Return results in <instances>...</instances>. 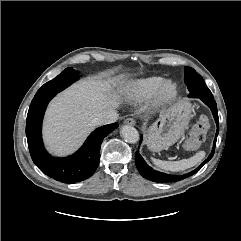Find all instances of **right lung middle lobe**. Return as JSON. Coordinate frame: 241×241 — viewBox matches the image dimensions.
I'll return each instance as SVG.
<instances>
[{
	"mask_svg": "<svg viewBox=\"0 0 241 241\" xmlns=\"http://www.w3.org/2000/svg\"><path fill=\"white\" fill-rule=\"evenodd\" d=\"M77 74L78 72L73 70L72 68H66L53 80L45 83L37 91L34 98L56 95L58 92L64 90L69 85H71L74 81L78 80L79 77L76 76Z\"/></svg>",
	"mask_w": 241,
	"mask_h": 241,
	"instance_id": "right-lung-middle-lobe-1",
	"label": "right lung middle lobe"
}]
</instances>
